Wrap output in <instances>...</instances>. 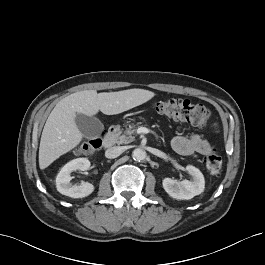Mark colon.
I'll return each mask as SVG.
<instances>
[{
	"instance_id": "obj_1",
	"label": "colon",
	"mask_w": 265,
	"mask_h": 265,
	"mask_svg": "<svg viewBox=\"0 0 265 265\" xmlns=\"http://www.w3.org/2000/svg\"><path fill=\"white\" fill-rule=\"evenodd\" d=\"M154 108L161 115L187 122L196 127L205 126L210 118V111L207 107L199 104H192L189 101L181 99L159 101L155 103ZM100 145V139L89 140L81 146L80 152L89 155L97 150ZM205 164L209 174L217 175L220 173L222 158L216 149H212L211 153L206 158Z\"/></svg>"
}]
</instances>
